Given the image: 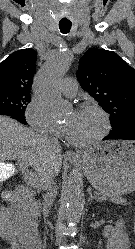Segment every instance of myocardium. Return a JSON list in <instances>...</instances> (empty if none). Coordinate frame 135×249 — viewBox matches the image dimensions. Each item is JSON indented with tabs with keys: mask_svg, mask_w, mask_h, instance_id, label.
Here are the masks:
<instances>
[{
	"mask_svg": "<svg viewBox=\"0 0 135 249\" xmlns=\"http://www.w3.org/2000/svg\"><path fill=\"white\" fill-rule=\"evenodd\" d=\"M83 109H91V110L96 111L102 118L103 128H102V131L97 136H95L94 138H92L88 141L75 140L74 138H72L70 136V134L66 128L65 131H66V137H67L68 141L71 144H73L74 146L80 147V148H86V147H90V146L97 144L98 142H100L101 140H103L107 136V134L109 133V130H110L109 115L100 105L93 103V102H84V103L80 104L76 110L78 111V110H83Z\"/></svg>",
	"mask_w": 135,
	"mask_h": 249,
	"instance_id": "obj_1",
	"label": "myocardium"
}]
</instances>
